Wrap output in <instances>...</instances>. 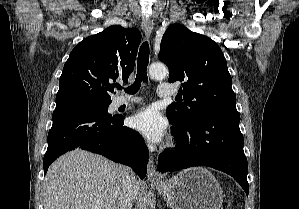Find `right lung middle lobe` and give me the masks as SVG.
Segmentation results:
<instances>
[{"label":"right lung middle lobe","mask_w":299,"mask_h":209,"mask_svg":"<svg viewBox=\"0 0 299 209\" xmlns=\"http://www.w3.org/2000/svg\"><path fill=\"white\" fill-rule=\"evenodd\" d=\"M111 102H79V103H72L79 105L81 107L90 109L106 118H111L112 116L108 113V106Z\"/></svg>","instance_id":"1"}]
</instances>
